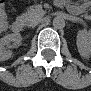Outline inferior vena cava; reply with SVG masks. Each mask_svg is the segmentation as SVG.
<instances>
[{"mask_svg": "<svg viewBox=\"0 0 91 91\" xmlns=\"http://www.w3.org/2000/svg\"><path fill=\"white\" fill-rule=\"evenodd\" d=\"M41 21H42V18L41 17H38V18L34 19L30 24H28V26L29 27H35Z\"/></svg>", "mask_w": 91, "mask_h": 91, "instance_id": "602c4592", "label": "inferior vena cava"}]
</instances>
